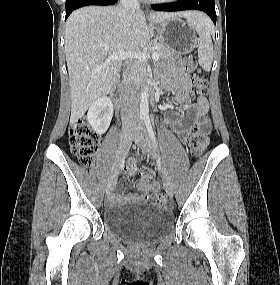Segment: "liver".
<instances>
[{"mask_svg": "<svg viewBox=\"0 0 280 285\" xmlns=\"http://www.w3.org/2000/svg\"><path fill=\"white\" fill-rule=\"evenodd\" d=\"M198 12L151 13L126 11L122 6H88L74 11L66 21L65 55L74 124L91 104L109 93L122 67V60L108 61L117 51H140L154 36V24L169 18L195 20ZM148 19L150 23H147Z\"/></svg>", "mask_w": 280, "mask_h": 285, "instance_id": "1", "label": "liver"}]
</instances>
